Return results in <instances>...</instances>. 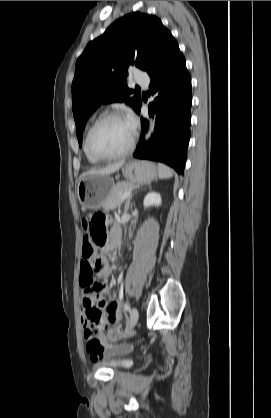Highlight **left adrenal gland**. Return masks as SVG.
Wrapping results in <instances>:
<instances>
[{
	"label": "left adrenal gland",
	"instance_id": "obj_1",
	"mask_svg": "<svg viewBox=\"0 0 271 418\" xmlns=\"http://www.w3.org/2000/svg\"><path fill=\"white\" fill-rule=\"evenodd\" d=\"M132 197H133V195H131V196L128 198V200L126 201L124 212H127V211H128L129 206H130V201H131Z\"/></svg>",
	"mask_w": 271,
	"mask_h": 418
}]
</instances>
